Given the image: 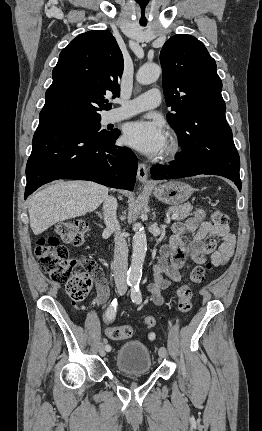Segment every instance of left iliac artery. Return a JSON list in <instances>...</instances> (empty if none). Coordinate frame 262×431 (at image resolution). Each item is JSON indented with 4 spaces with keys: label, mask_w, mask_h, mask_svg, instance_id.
Listing matches in <instances>:
<instances>
[{
    "label": "left iliac artery",
    "mask_w": 262,
    "mask_h": 431,
    "mask_svg": "<svg viewBox=\"0 0 262 431\" xmlns=\"http://www.w3.org/2000/svg\"><path fill=\"white\" fill-rule=\"evenodd\" d=\"M139 283L140 281H134L131 285V299L136 304H140L142 302V294Z\"/></svg>",
    "instance_id": "1"
}]
</instances>
